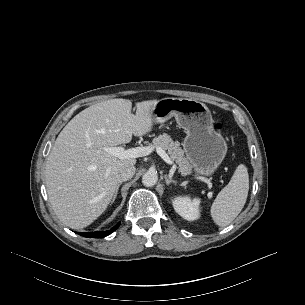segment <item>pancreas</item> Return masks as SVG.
<instances>
[{
	"instance_id": "1",
	"label": "pancreas",
	"mask_w": 305,
	"mask_h": 305,
	"mask_svg": "<svg viewBox=\"0 0 305 305\" xmlns=\"http://www.w3.org/2000/svg\"><path fill=\"white\" fill-rule=\"evenodd\" d=\"M152 148L167 150L170 158L178 165L179 171L183 175L191 173V163L188 158L184 156V151L180 147V142L173 141L168 134L164 133L154 138L152 141Z\"/></svg>"
}]
</instances>
